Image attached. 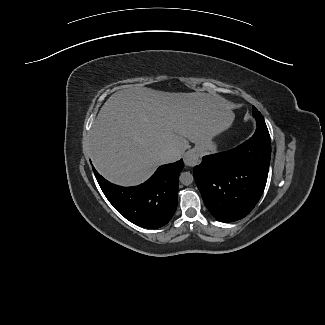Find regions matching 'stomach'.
Returning <instances> with one entry per match:
<instances>
[{
  "mask_svg": "<svg viewBox=\"0 0 325 325\" xmlns=\"http://www.w3.org/2000/svg\"><path fill=\"white\" fill-rule=\"evenodd\" d=\"M197 150L200 152V153H204V152H207V151H213L215 150V145L214 143L210 140L208 142H206L204 145H200L197 147Z\"/></svg>",
  "mask_w": 325,
  "mask_h": 325,
  "instance_id": "1",
  "label": "stomach"
}]
</instances>
